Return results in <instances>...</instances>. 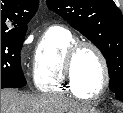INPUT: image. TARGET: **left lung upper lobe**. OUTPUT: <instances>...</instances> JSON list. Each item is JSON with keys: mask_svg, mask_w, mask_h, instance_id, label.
Wrapping results in <instances>:
<instances>
[{"mask_svg": "<svg viewBox=\"0 0 123 113\" xmlns=\"http://www.w3.org/2000/svg\"><path fill=\"white\" fill-rule=\"evenodd\" d=\"M47 5L100 49L109 88L123 101V17L113 0H47Z\"/></svg>", "mask_w": 123, "mask_h": 113, "instance_id": "5c2ea615", "label": "left lung upper lobe"}]
</instances>
